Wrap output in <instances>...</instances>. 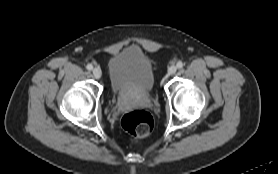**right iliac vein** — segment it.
<instances>
[{
    "mask_svg": "<svg viewBox=\"0 0 278 174\" xmlns=\"http://www.w3.org/2000/svg\"><path fill=\"white\" fill-rule=\"evenodd\" d=\"M93 76L96 78V79H100L101 76H102V72L99 68H94L93 71Z\"/></svg>",
    "mask_w": 278,
    "mask_h": 174,
    "instance_id": "63e3f726",
    "label": "right iliac vein"
}]
</instances>
